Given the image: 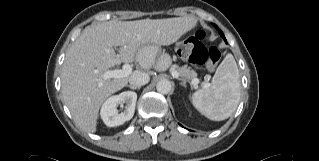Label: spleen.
I'll return each instance as SVG.
<instances>
[{"label":"spleen","instance_id":"1","mask_svg":"<svg viewBox=\"0 0 319 161\" xmlns=\"http://www.w3.org/2000/svg\"><path fill=\"white\" fill-rule=\"evenodd\" d=\"M241 94V83L236 61L227 54L218 66L211 84L192 95L194 107L210 120L222 121L236 110Z\"/></svg>","mask_w":319,"mask_h":161}]
</instances>
